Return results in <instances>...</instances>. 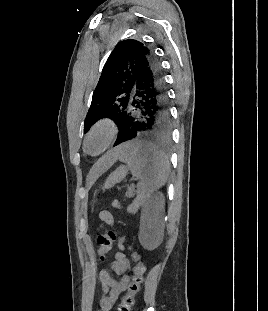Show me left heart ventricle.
Masks as SVG:
<instances>
[{
    "label": "left heart ventricle",
    "instance_id": "1",
    "mask_svg": "<svg viewBox=\"0 0 268 311\" xmlns=\"http://www.w3.org/2000/svg\"><path fill=\"white\" fill-rule=\"evenodd\" d=\"M104 135L103 134H97L94 137L91 138L88 144V148L90 151L95 152L97 151L101 144L103 143Z\"/></svg>",
    "mask_w": 268,
    "mask_h": 311
}]
</instances>
